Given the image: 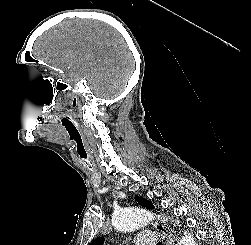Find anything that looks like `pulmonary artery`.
Listing matches in <instances>:
<instances>
[{
	"label": "pulmonary artery",
	"mask_w": 251,
	"mask_h": 245,
	"mask_svg": "<svg viewBox=\"0 0 251 245\" xmlns=\"http://www.w3.org/2000/svg\"><path fill=\"white\" fill-rule=\"evenodd\" d=\"M155 232H142L135 238L136 245H155Z\"/></svg>",
	"instance_id": "1"
}]
</instances>
